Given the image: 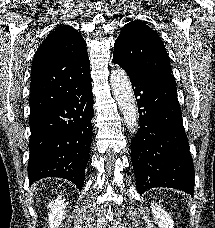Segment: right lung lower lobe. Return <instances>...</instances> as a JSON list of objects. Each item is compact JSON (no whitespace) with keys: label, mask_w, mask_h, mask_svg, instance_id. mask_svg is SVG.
Returning a JSON list of instances; mask_svg holds the SVG:
<instances>
[{"label":"right lung lower lobe","mask_w":215,"mask_h":228,"mask_svg":"<svg viewBox=\"0 0 215 228\" xmlns=\"http://www.w3.org/2000/svg\"><path fill=\"white\" fill-rule=\"evenodd\" d=\"M68 88L65 98L29 117L30 185L42 178L59 177L80 190L83 187L92 141L91 76L69 83Z\"/></svg>","instance_id":"98d812e1"}]
</instances>
